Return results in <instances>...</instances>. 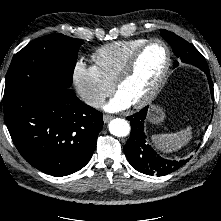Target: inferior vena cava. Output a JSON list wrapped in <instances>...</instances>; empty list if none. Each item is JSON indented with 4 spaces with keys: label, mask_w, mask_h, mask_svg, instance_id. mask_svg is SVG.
<instances>
[{
    "label": "inferior vena cava",
    "mask_w": 221,
    "mask_h": 221,
    "mask_svg": "<svg viewBox=\"0 0 221 221\" xmlns=\"http://www.w3.org/2000/svg\"><path fill=\"white\" fill-rule=\"evenodd\" d=\"M81 97L86 104L91 106H97L103 102L100 95L93 91L84 92L82 93Z\"/></svg>",
    "instance_id": "1"
}]
</instances>
